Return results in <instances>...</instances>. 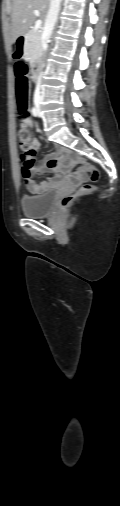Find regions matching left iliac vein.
I'll return each mask as SVG.
<instances>
[{
	"label": "left iliac vein",
	"mask_w": 120,
	"mask_h": 506,
	"mask_svg": "<svg viewBox=\"0 0 120 506\" xmlns=\"http://www.w3.org/2000/svg\"><path fill=\"white\" fill-rule=\"evenodd\" d=\"M38 115H39V116H41V112H40V110H39V109H38Z\"/></svg>",
	"instance_id": "left-iliac-vein-1"
}]
</instances>
